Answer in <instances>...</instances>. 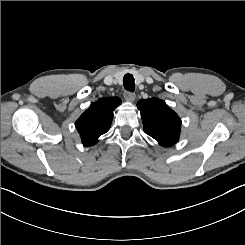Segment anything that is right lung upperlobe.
<instances>
[{
	"instance_id": "cb5924a9",
	"label": "right lung upper lobe",
	"mask_w": 245,
	"mask_h": 245,
	"mask_svg": "<svg viewBox=\"0 0 245 245\" xmlns=\"http://www.w3.org/2000/svg\"><path fill=\"white\" fill-rule=\"evenodd\" d=\"M120 103L118 97L101 98L92 103L90 108L80 116L75 126L84 146L96 144L98 138L109 130L113 111Z\"/></svg>"
}]
</instances>
